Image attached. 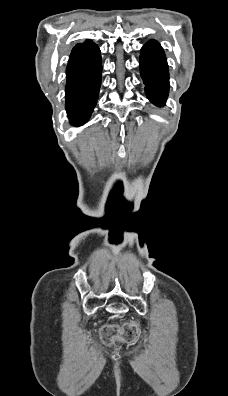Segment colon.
I'll return each instance as SVG.
<instances>
[{"label":"colon","instance_id":"colon-1","mask_svg":"<svg viewBox=\"0 0 228 396\" xmlns=\"http://www.w3.org/2000/svg\"><path fill=\"white\" fill-rule=\"evenodd\" d=\"M140 325L137 321H129L122 326L108 324L101 328V336L105 343L114 341L133 342L137 339Z\"/></svg>","mask_w":228,"mask_h":396}]
</instances>
